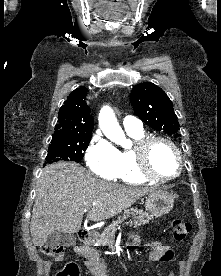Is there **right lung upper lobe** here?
Here are the masks:
<instances>
[{
	"label": "right lung upper lobe",
	"mask_w": 221,
	"mask_h": 276,
	"mask_svg": "<svg viewBox=\"0 0 221 276\" xmlns=\"http://www.w3.org/2000/svg\"><path fill=\"white\" fill-rule=\"evenodd\" d=\"M88 90L81 86L71 92L59 110L52 140L92 137L94 120L86 104Z\"/></svg>",
	"instance_id": "1"
}]
</instances>
